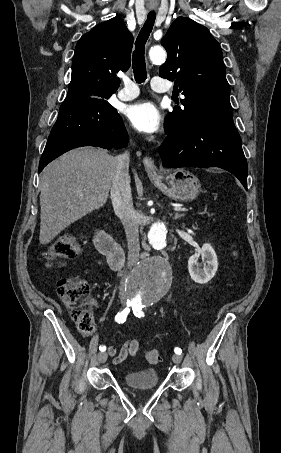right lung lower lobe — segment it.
<instances>
[{
  "label": "right lung lower lobe",
  "mask_w": 281,
  "mask_h": 453,
  "mask_svg": "<svg viewBox=\"0 0 281 453\" xmlns=\"http://www.w3.org/2000/svg\"><path fill=\"white\" fill-rule=\"evenodd\" d=\"M127 141L121 116L106 100H64L41 156L39 171L73 148L89 145L120 148Z\"/></svg>",
  "instance_id": "obj_1"
}]
</instances>
